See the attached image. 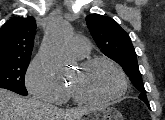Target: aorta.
Returning <instances> with one entry per match:
<instances>
[{
  "label": "aorta",
  "mask_w": 165,
  "mask_h": 120,
  "mask_svg": "<svg viewBox=\"0 0 165 120\" xmlns=\"http://www.w3.org/2000/svg\"><path fill=\"white\" fill-rule=\"evenodd\" d=\"M70 33V24L61 17L50 19L46 35L39 49V56L53 76L61 75L67 66L63 58V47Z\"/></svg>",
  "instance_id": "1"
}]
</instances>
